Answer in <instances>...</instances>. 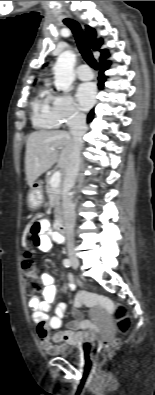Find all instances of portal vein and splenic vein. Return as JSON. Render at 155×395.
I'll list each match as a JSON object with an SVG mask.
<instances>
[{
    "mask_svg": "<svg viewBox=\"0 0 155 395\" xmlns=\"http://www.w3.org/2000/svg\"><path fill=\"white\" fill-rule=\"evenodd\" d=\"M52 151H55L54 148L51 149ZM61 182V172L56 171L51 177V185L53 188H57L60 185Z\"/></svg>",
    "mask_w": 155,
    "mask_h": 395,
    "instance_id": "portal-vein-and-splenic-vein-1",
    "label": "portal vein and splenic vein"
}]
</instances>
